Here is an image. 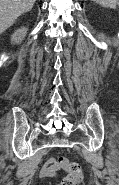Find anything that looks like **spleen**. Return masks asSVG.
I'll use <instances>...</instances> for the list:
<instances>
[{"label": "spleen", "mask_w": 119, "mask_h": 185, "mask_svg": "<svg viewBox=\"0 0 119 185\" xmlns=\"http://www.w3.org/2000/svg\"><path fill=\"white\" fill-rule=\"evenodd\" d=\"M95 3L101 5L102 7H107L111 9H116L119 0H92Z\"/></svg>", "instance_id": "spleen-1"}]
</instances>
